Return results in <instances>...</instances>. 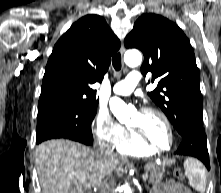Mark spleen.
<instances>
[{"label":"spleen","instance_id":"1","mask_svg":"<svg viewBox=\"0 0 221 193\" xmlns=\"http://www.w3.org/2000/svg\"><path fill=\"white\" fill-rule=\"evenodd\" d=\"M185 174L189 185L196 191L204 193L206 189V170L197 159L188 158L184 162Z\"/></svg>","mask_w":221,"mask_h":193}]
</instances>
